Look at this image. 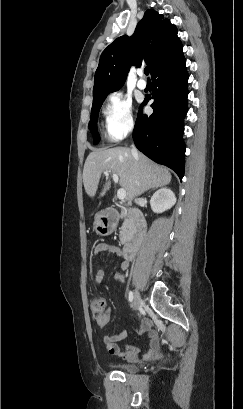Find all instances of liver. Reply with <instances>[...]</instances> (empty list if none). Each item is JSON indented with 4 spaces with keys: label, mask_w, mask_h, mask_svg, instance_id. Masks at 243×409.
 <instances>
[{
    "label": "liver",
    "mask_w": 243,
    "mask_h": 409,
    "mask_svg": "<svg viewBox=\"0 0 243 409\" xmlns=\"http://www.w3.org/2000/svg\"><path fill=\"white\" fill-rule=\"evenodd\" d=\"M106 170L118 175L129 204L135 196L144 191L163 187L171 181L167 168L154 163L141 153L134 155L127 147L97 149L88 155L83 169L84 188L91 198L96 196L101 175ZM110 188L108 175L100 196H104Z\"/></svg>",
    "instance_id": "obj_1"
}]
</instances>
